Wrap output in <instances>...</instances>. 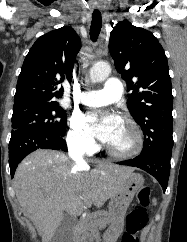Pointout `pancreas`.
I'll return each instance as SVG.
<instances>
[{"instance_id": "pancreas-1", "label": "pancreas", "mask_w": 187, "mask_h": 242, "mask_svg": "<svg viewBox=\"0 0 187 242\" xmlns=\"http://www.w3.org/2000/svg\"><path fill=\"white\" fill-rule=\"evenodd\" d=\"M109 224L108 213L97 211L82 218L75 234V242H93L95 234L100 228Z\"/></svg>"}]
</instances>
